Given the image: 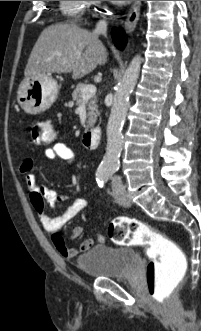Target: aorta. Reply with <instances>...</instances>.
I'll use <instances>...</instances> for the list:
<instances>
[{"label": "aorta", "instance_id": "aorta-1", "mask_svg": "<svg viewBox=\"0 0 201 331\" xmlns=\"http://www.w3.org/2000/svg\"><path fill=\"white\" fill-rule=\"evenodd\" d=\"M140 67L141 56L137 55L130 62L122 81L117 86L107 123L106 153L97 172L99 178H107L119 166L123 140L122 127L129 108V96L139 78Z\"/></svg>", "mask_w": 201, "mask_h": 331}]
</instances>
